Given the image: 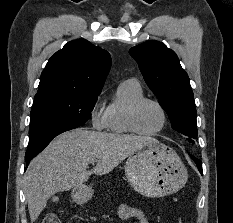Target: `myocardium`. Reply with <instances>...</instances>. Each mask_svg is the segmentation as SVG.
Returning a JSON list of instances; mask_svg holds the SVG:
<instances>
[{
  "mask_svg": "<svg viewBox=\"0 0 233 223\" xmlns=\"http://www.w3.org/2000/svg\"><path fill=\"white\" fill-rule=\"evenodd\" d=\"M146 103H153L156 106H158L160 108V110L163 113L164 116V125L163 127L157 131V132H153V133H147L145 131H143L139 125V114L140 111L142 109V107L146 104ZM129 124L131 129L134 131L135 134L141 135V136H145V137H153V136H158L162 133H164L166 131V129L168 128L169 125V114L167 109L164 107V105L159 102L156 99L153 98H149V97H143L139 100H137L131 107L130 112H129Z\"/></svg>",
  "mask_w": 233,
  "mask_h": 223,
  "instance_id": "f54148a6",
  "label": "myocardium"
}]
</instances>
